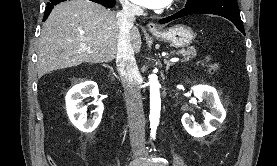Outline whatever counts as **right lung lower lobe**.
<instances>
[{
	"label": "right lung lower lobe",
	"instance_id": "right-lung-lower-lobe-1",
	"mask_svg": "<svg viewBox=\"0 0 277 166\" xmlns=\"http://www.w3.org/2000/svg\"><path fill=\"white\" fill-rule=\"evenodd\" d=\"M63 1H66V0H49V2L47 3L46 9H45V14H44L43 21H45L47 19L48 15L50 14L53 7L56 4H58L60 2H63ZM90 1L102 4V5H104L106 7H109V8L113 7L114 4H115V0H90Z\"/></svg>",
	"mask_w": 277,
	"mask_h": 166
}]
</instances>
